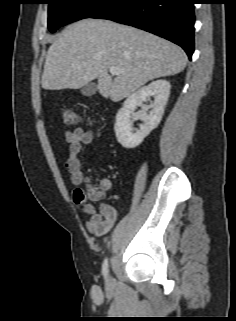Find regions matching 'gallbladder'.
<instances>
[{
	"label": "gallbladder",
	"instance_id": "gallbladder-1",
	"mask_svg": "<svg viewBox=\"0 0 236 321\" xmlns=\"http://www.w3.org/2000/svg\"><path fill=\"white\" fill-rule=\"evenodd\" d=\"M97 85L95 83H88L81 89V93L84 96L90 97L96 93Z\"/></svg>",
	"mask_w": 236,
	"mask_h": 321
}]
</instances>
